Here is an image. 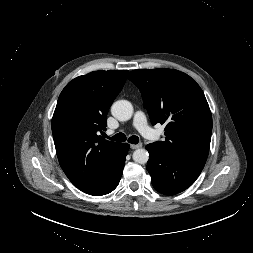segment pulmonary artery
<instances>
[{
    "mask_svg": "<svg viewBox=\"0 0 253 253\" xmlns=\"http://www.w3.org/2000/svg\"><path fill=\"white\" fill-rule=\"evenodd\" d=\"M133 126L146 138L156 139L157 133L148 125L145 114L137 111L134 115Z\"/></svg>",
    "mask_w": 253,
    "mask_h": 253,
    "instance_id": "e3ab8cb5",
    "label": "pulmonary artery"
}]
</instances>
